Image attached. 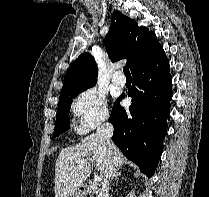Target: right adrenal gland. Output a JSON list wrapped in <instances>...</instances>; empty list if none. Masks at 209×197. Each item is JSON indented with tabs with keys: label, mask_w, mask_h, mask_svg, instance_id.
I'll list each match as a JSON object with an SVG mask.
<instances>
[{
	"label": "right adrenal gland",
	"mask_w": 209,
	"mask_h": 197,
	"mask_svg": "<svg viewBox=\"0 0 209 197\" xmlns=\"http://www.w3.org/2000/svg\"><path fill=\"white\" fill-rule=\"evenodd\" d=\"M120 176H121V171H119L118 169H115V171L112 175L111 181H113V180L118 181Z\"/></svg>",
	"instance_id": "right-adrenal-gland-1"
}]
</instances>
